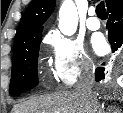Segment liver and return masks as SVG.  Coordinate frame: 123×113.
Returning <instances> with one entry per match:
<instances>
[{"label": "liver", "instance_id": "6515ba94", "mask_svg": "<svg viewBox=\"0 0 123 113\" xmlns=\"http://www.w3.org/2000/svg\"><path fill=\"white\" fill-rule=\"evenodd\" d=\"M88 107L76 91H58L32 97L17 105L13 113H87Z\"/></svg>", "mask_w": 123, "mask_h": 113}]
</instances>
